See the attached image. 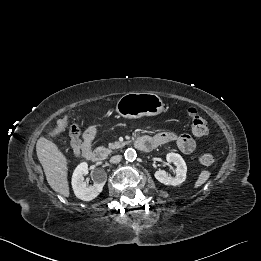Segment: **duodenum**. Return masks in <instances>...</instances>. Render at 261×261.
<instances>
[{
    "label": "duodenum",
    "instance_id": "410a0bca",
    "mask_svg": "<svg viewBox=\"0 0 261 261\" xmlns=\"http://www.w3.org/2000/svg\"><path fill=\"white\" fill-rule=\"evenodd\" d=\"M136 145L142 151H151L155 148V146L151 142L144 139H138L136 141ZM82 156L92 162H101L106 159L107 152L105 150H85L82 152Z\"/></svg>",
    "mask_w": 261,
    "mask_h": 261
}]
</instances>
